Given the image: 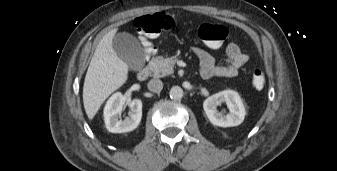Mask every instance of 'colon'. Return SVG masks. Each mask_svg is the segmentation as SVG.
Wrapping results in <instances>:
<instances>
[{"label":"colon","instance_id":"colon-1","mask_svg":"<svg viewBox=\"0 0 337 171\" xmlns=\"http://www.w3.org/2000/svg\"><path fill=\"white\" fill-rule=\"evenodd\" d=\"M173 26V18L161 13L140 16L134 20V28L145 37L158 34L163 30H169ZM227 35V29L222 25L202 23L198 27L199 38L205 42L206 47L210 50L220 49ZM142 49L148 59H153L157 55L155 44L151 40L144 41ZM265 83L264 72L261 69H255L252 73V85L256 89H262Z\"/></svg>","mask_w":337,"mask_h":171}]
</instances>
